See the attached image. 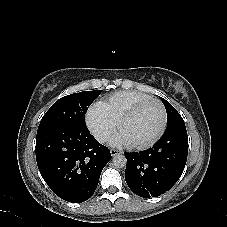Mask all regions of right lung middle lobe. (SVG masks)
Returning a JSON list of instances; mask_svg holds the SVG:
<instances>
[{
    "label": "right lung middle lobe",
    "instance_id": "right-lung-middle-lobe-1",
    "mask_svg": "<svg viewBox=\"0 0 227 227\" xmlns=\"http://www.w3.org/2000/svg\"><path fill=\"white\" fill-rule=\"evenodd\" d=\"M101 92L102 90L83 91L60 98L43 116L40 125L73 128L85 126V114L88 107Z\"/></svg>",
    "mask_w": 227,
    "mask_h": 227
}]
</instances>
